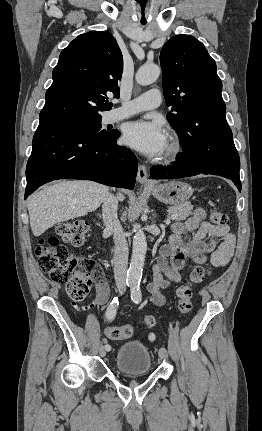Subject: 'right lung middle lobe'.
<instances>
[{
    "instance_id": "obj_1",
    "label": "right lung middle lobe",
    "mask_w": 262,
    "mask_h": 431,
    "mask_svg": "<svg viewBox=\"0 0 262 431\" xmlns=\"http://www.w3.org/2000/svg\"><path fill=\"white\" fill-rule=\"evenodd\" d=\"M101 116L94 117V118H86V119H73L70 121H66L62 124H68L71 126H75L77 128H80L82 130H85L86 132L90 134H97L99 136H108L112 134L114 131H106L101 129Z\"/></svg>"
}]
</instances>
